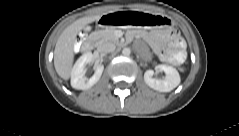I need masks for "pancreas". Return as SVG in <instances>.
<instances>
[{
  "label": "pancreas",
  "mask_w": 239,
  "mask_h": 136,
  "mask_svg": "<svg viewBox=\"0 0 239 136\" xmlns=\"http://www.w3.org/2000/svg\"><path fill=\"white\" fill-rule=\"evenodd\" d=\"M94 37L97 38L99 42L111 41L119 43V38L115 35V28L113 27L94 32Z\"/></svg>",
  "instance_id": "obj_1"
}]
</instances>
